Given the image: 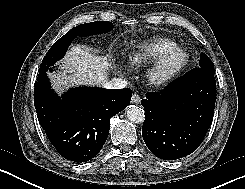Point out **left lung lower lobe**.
<instances>
[{"label":"left lung lower lobe","mask_w":245,"mask_h":189,"mask_svg":"<svg viewBox=\"0 0 245 189\" xmlns=\"http://www.w3.org/2000/svg\"><path fill=\"white\" fill-rule=\"evenodd\" d=\"M216 102L214 74L194 68L160 92L141 100L145 110L143 139L158 158L176 160L191 154L203 141Z\"/></svg>","instance_id":"0a47b994"}]
</instances>
